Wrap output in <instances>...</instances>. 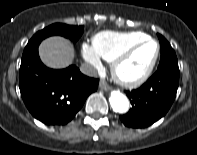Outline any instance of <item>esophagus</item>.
Segmentation results:
<instances>
[{"mask_svg":"<svg viewBox=\"0 0 197 155\" xmlns=\"http://www.w3.org/2000/svg\"><path fill=\"white\" fill-rule=\"evenodd\" d=\"M99 87H100L102 90H104V91L109 90V85H108L105 81H103V80L100 81Z\"/></svg>","mask_w":197,"mask_h":155,"instance_id":"obj_1","label":"esophagus"}]
</instances>
